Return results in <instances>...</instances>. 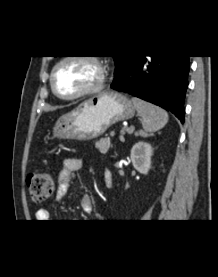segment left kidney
<instances>
[{
    "label": "left kidney",
    "mask_w": 218,
    "mask_h": 277,
    "mask_svg": "<svg viewBox=\"0 0 218 277\" xmlns=\"http://www.w3.org/2000/svg\"><path fill=\"white\" fill-rule=\"evenodd\" d=\"M152 147L149 143L138 142L131 149L133 167L141 174H147L151 166Z\"/></svg>",
    "instance_id": "5707ae66"
}]
</instances>
